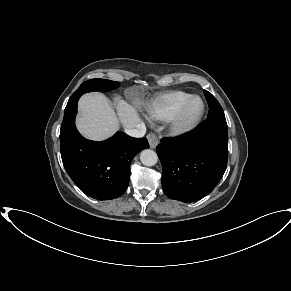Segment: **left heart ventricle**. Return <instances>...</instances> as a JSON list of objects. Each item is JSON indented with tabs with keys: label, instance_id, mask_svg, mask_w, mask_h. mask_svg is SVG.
<instances>
[{
	"label": "left heart ventricle",
	"instance_id": "left-heart-ventricle-1",
	"mask_svg": "<svg viewBox=\"0 0 291 291\" xmlns=\"http://www.w3.org/2000/svg\"><path fill=\"white\" fill-rule=\"evenodd\" d=\"M201 103L198 100H195L191 103L188 112H187V118L191 119L193 118L200 110Z\"/></svg>",
	"mask_w": 291,
	"mask_h": 291
}]
</instances>
